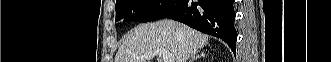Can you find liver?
<instances>
[{
    "mask_svg": "<svg viewBox=\"0 0 331 62\" xmlns=\"http://www.w3.org/2000/svg\"><path fill=\"white\" fill-rule=\"evenodd\" d=\"M208 42L207 35L173 20L141 24L127 34L115 62H146L141 57L158 48L168 50L174 62H186Z\"/></svg>",
    "mask_w": 331,
    "mask_h": 62,
    "instance_id": "obj_1",
    "label": "liver"
}]
</instances>
